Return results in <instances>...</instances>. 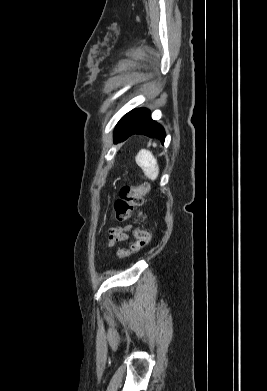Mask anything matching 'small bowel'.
I'll return each mask as SVG.
<instances>
[{"label": "small bowel", "instance_id": "1", "mask_svg": "<svg viewBox=\"0 0 267 391\" xmlns=\"http://www.w3.org/2000/svg\"><path fill=\"white\" fill-rule=\"evenodd\" d=\"M130 229V227L126 228H120V227H115L112 228L109 231V245H113L116 241H123L127 239L128 234L127 231Z\"/></svg>", "mask_w": 267, "mask_h": 391}]
</instances>
